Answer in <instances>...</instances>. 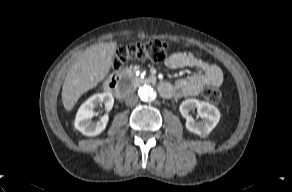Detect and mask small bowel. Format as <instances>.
Returning a JSON list of instances; mask_svg holds the SVG:
<instances>
[{
  "label": "small bowel",
  "instance_id": "obj_1",
  "mask_svg": "<svg viewBox=\"0 0 292 192\" xmlns=\"http://www.w3.org/2000/svg\"><path fill=\"white\" fill-rule=\"evenodd\" d=\"M166 66L171 69L193 67L199 70L198 74L178 80L170 84V97H185L199 94L204 88L220 85L223 81L222 70L215 64L196 57L192 52H176L166 59Z\"/></svg>",
  "mask_w": 292,
  "mask_h": 192
}]
</instances>
